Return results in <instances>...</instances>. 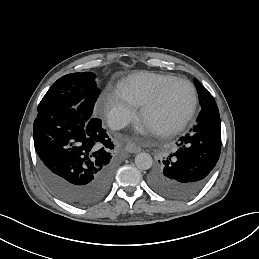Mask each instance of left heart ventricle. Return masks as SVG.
<instances>
[{
    "mask_svg": "<svg viewBox=\"0 0 259 259\" xmlns=\"http://www.w3.org/2000/svg\"><path fill=\"white\" fill-rule=\"evenodd\" d=\"M191 96L189 86L177 81L167 89L161 103L140 119L155 133L162 131L187 109Z\"/></svg>",
    "mask_w": 259,
    "mask_h": 259,
    "instance_id": "left-heart-ventricle-1",
    "label": "left heart ventricle"
}]
</instances>
